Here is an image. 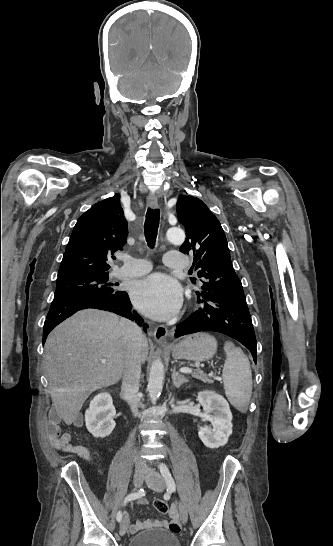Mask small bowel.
<instances>
[{"mask_svg": "<svg viewBox=\"0 0 333 546\" xmlns=\"http://www.w3.org/2000/svg\"><path fill=\"white\" fill-rule=\"evenodd\" d=\"M75 425H78L79 422H75ZM48 438L52 446L70 451L79 455L86 462H93L98 470L101 469L100 460L96 452L92 455L84 446L75 445L72 443L71 436L66 433L61 432L60 427V418L52 417L49 420L47 427ZM169 515L172 519V522L169 523L166 520H161L157 522V525L163 527H170L173 532H179L180 526L178 524V510L175 505L171 506ZM154 522L147 521H136L133 525L130 526L129 530L131 533H135L144 527L151 526Z\"/></svg>", "mask_w": 333, "mask_h": 546, "instance_id": "small-bowel-1", "label": "small bowel"}]
</instances>
